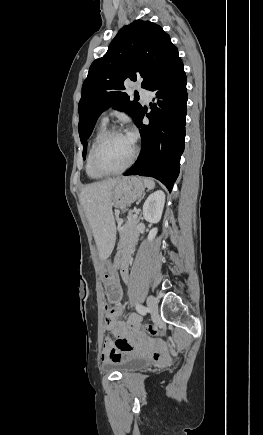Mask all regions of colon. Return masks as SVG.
I'll use <instances>...</instances> for the list:
<instances>
[{"label":"colon","mask_w":263,"mask_h":435,"mask_svg":"<svg viewBox=\"0 0 263 435\" xmlns=\"http://www.w3.org/2000/svg\"><path fill=\"white\" fill-rule=\"evenodd\" d=\"M142 327H143V331L144 332H148L149 334H153L154 336L160 335L162 333L157 327H153L151 324H144ZM118 341H121V340L118 339ZM160 341H163V340L161 338H158L156 341H154V343H159ZM101 342H102V348H103V350H112L113 343L110 340V338L105 337V338L102 339ZM140 342L144 343L145 341L141 339ZM163 354H166V353L163 351Z\"/></svg>","instance_id":"obj_1"}]
</instances>
